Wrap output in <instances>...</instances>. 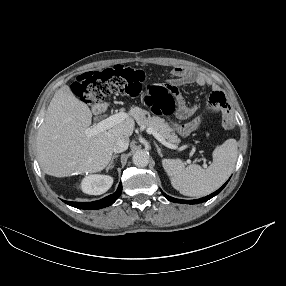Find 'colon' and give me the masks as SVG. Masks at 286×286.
I'll use <instances>...</instances> for the list:
<instances>
[{
  "label": "colon",
  "instance_id": "5ec220e1",
  "mask_svg": "<svg viewBox=\"0 0 286 286\" xmlns=\"http://www.w3.org/2000/svg\"><path fill=\"white\" fill-rule=\"evenodd\" d=\"M146 91L145 102L160 114L165 126L178 137L190 138L194 131L207 126L203 117L181 124L173 115L175 98L169 85L145 84L143 71L130 66H114L101 71L86 72L73 82L74 94L86 103H98L116 94L136 96Z\"/></svg>",
  "mask_w": 286,
  "mask_h": 286
}]
</instances>
